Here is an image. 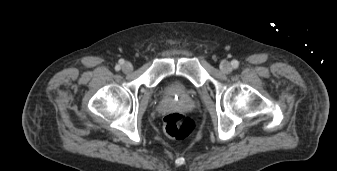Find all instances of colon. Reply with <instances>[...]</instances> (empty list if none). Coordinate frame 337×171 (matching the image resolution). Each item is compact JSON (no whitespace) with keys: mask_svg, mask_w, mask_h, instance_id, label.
<instances>
[{"mask_svg":"<svg viewBox=\"0 0 337 171\" xmlns=\"http://www.w3.org/2000/svg\"><path fill=\"white\" fill-rule=\"evenodd\" d=\"M195 128L194 120L185 114L170 113L163 118V129L173 139H185L194 132Z\"/></svg>","mask_w":337,"mask_h":171,"instance_id":"1","label":"colon"}]
</instances>
